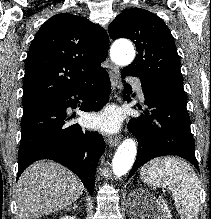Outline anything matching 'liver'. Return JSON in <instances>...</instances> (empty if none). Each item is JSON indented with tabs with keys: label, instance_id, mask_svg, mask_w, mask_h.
<instances>
[{
	"label": "liver",
	"instance_id": "obj_1",
	"mask_svg": "<svg viewBox=\"0 0 211 219\" xmlns=\"http://www.w3.org/2000/svg\"><path fill=\"white\" fill-rule=\"evenodd\" d=\"M81 180L54 161H38L20 176L16 189L18 219H37L67 208L83 193Z\"/></svg>",
	"mask_w": 211,
	"mask_h": 219
}]
</instances>
